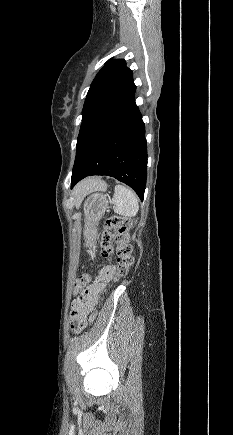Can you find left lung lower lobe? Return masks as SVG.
<instances>
[{"mask_svg":"<svg viewBox=\"0 0 233 435\" xmlns=\"http://www.w3.org/2000/svg\"><path fill=\"white\" fill-rule=\"evenodd\" d=\"M145 126L136 103L106 126L75 161L71 187L89 175H107L129 185L143 200L147 177Z\"/></svg>","mask_w":233,"mask_h":435,"instance_id":"obj_1","label":"left lung lower lobe"}]
</instances>
